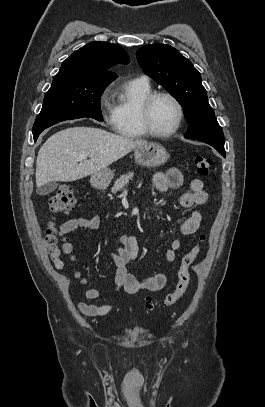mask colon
I'll return each instance as SVG.
<instances>
[{"label":"colon","mask_w":265,"mask_h":407,"mask_svg":"<svg viewBox=\"0 0 265 407\" xmlns=\"http://www.w3.org/2000/svg\"><path fill=\"white\" fill-rule=\"evenodd\" d=\"M194 165L201 175H207L212 166V159L209 156L197 155L194 158ZM76 204V197L74 189L70 186L60 187L49 199L48 206L52 212L67 213L71 211ZM201 241L204 237L200 238ZM47 246L53 261L61 258L63 254H68L71 251V246L68 242L59 236L55 226L52 224L48 227L46 233ZM201 252V245L194 246L187 254H185L181 260L178 273L177 284L173 292L169 293L162 306L172 307L175 306L186 294L190 281V268L197 259ZM146 309L153 310L158 306V302L152 298L147 297L144 301Z\"/></svg>","instance_id":"5ec220e1"}]
</instances>
